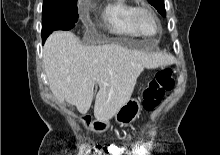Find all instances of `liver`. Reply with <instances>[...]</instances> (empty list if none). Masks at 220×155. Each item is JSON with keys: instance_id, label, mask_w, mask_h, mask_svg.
I'll list each match as a JSON object with an SVG mask.
<instances>
[{"instance_id": "liver-1", "label": "liver", "mask_w": 220, "mask_h": 155, "mask_svg": "<svg viewBox=\"0 0 220 155\" xmlns=\"http://www.w3.org/2000/svg\"><path fill=\"white\" fill-rule=\"evenodd\" d=\"M173 62L174 58L165 53L131 50L114 43L84 46L66 31L53 32L43 47L50 90L60 104L67 102L86 114L94 86L99 85L94 105V116L99 121H109L131 98L144 68Z\"/></svg>"}]
</instances>
